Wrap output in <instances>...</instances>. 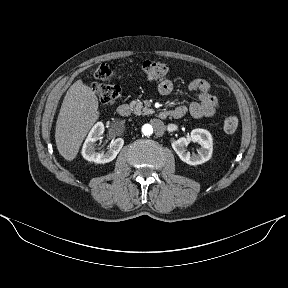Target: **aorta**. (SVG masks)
<instances>
[{
	"label": "aorta",
	"mask_w": 288,
	"mask_h": 288,
	"mask_svg": "<svg viewBox=\"0 0 288 288\" xmlns=\"http://www.w3.org/2000/svg\"><path fill=\"white\" fill-rule=\"evenodd\" d=\"M142 132L144 135L150 136L151 134H153V127L150 124H145L142 127Z\"/></svg>",
	"instance_id": "1"
}]
</instances>
